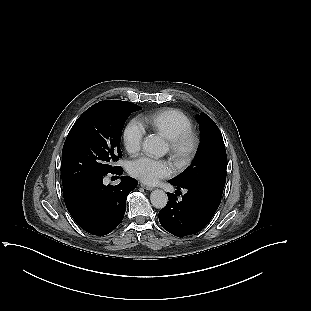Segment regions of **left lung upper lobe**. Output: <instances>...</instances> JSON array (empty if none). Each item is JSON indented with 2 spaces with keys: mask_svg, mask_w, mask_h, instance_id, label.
<instances>
[{
  "mask_svg": "<svg viewBox=\"0 0 311 311\" xmlns=\"http://www.w3.org/2000/svg\"><path fill=\"white\" fill-rule=\"evenodd\" d=\"M201 142L192 164L171 179L180 186L201 188L222 197L226 182V150L222 134L215 122L205 113L197 115Z\"/></svg>",
  "mask_w": 311,
  "mask_h": 311,
  "instance_id": "left-lung-upper-lobe-1",
  "label": "left lung upper lobe"
}]
</instances>
